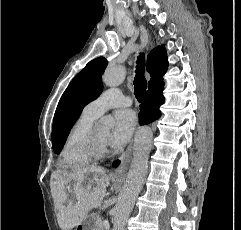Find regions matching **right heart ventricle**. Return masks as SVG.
I'll use <instances>...</instances> for the list:
<instances>
[{
	"label": "right heart ventricle",
	"instance_id": "1",
	"mask_svg": "<svg viewBox=\"0 0 241 230\" xmlns=\"http://www.w3.org/2000/svg\"><path fill=\"white\" fill-rule=\"evenodd\" d=\"M97 117L83 111L69 129L61 151V162L67 167L83 166L91 163L92 158L83 151V140Z\"/></svg>",
	"mask_w": 241,
	"mask_h": 230
}]
</instances>
